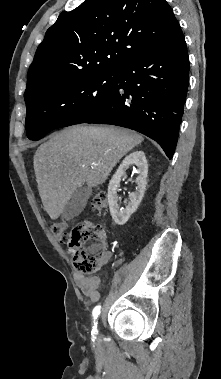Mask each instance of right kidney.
<instances>
[{"instance_id": "obj_1", "label": "right kidney", "mask_w": 221, "mask_h": 379, "mask_svg": "<svg viewBox=\"0 0 221 379\" xmlns=\"http://www.w3.org/2000/svg\"><path fill=\"white\" fill-rule=\"evenodd\" d=\"M135 165L137 167V178L135 180L136 190L129 194V201L125 208H121L118 204V188L122 176L126 174L129 166ZM148 174V164L143 151H134L124 158L118 167L116 173L108 185V203L111 216L114 222L118 225H124L130 216L137 210L146 190V178Z\"/></svg>"}]
</instances>
